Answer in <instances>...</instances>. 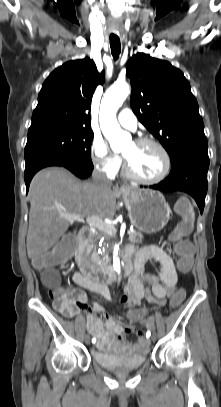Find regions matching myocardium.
Here are the masks:
<instances>
[{"instance_id": "f54148a6", "label": "myocardium", "mask_w": 221, "mask_h": 407, "mask_svg": "<svg viewBox=\"0 0 221 407\" xmlns=\"http://www.w3.org/2000/svg\"><path fill=\"white\" fill-rule=\"evenodd\" d=\"M134 142L137 145H152L157 147L164 156L165 169L163 173L157 178L154 179L145 178L135 172L130 161L124 156V168L126 175L137 182L148 185H154L164 181L169 176L172 169V158L167 148L162 143L152 138L142 137L136 139Z\"/></svg>"}]
</instances>
